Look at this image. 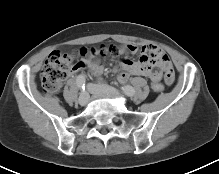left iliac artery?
Returning a JSON list of instances; mask_svg holds the SVG:
<instances>
[{
    "label": "left iliac artery",
    "instance_id": "1",
    "mask_svg": "<svg viewBox=\"0 0 219 174\" xmlns=\"http://www.w3.org/2000/svg\"><path fill=\"white\" fill-rule=\"evenodd\" d=\"M122 90L128 96H133L135 94V89L130 85L122 87Z\"/></svg>",
    "mask_w": 219,
    "mask_h": 174
}]
</instances>
